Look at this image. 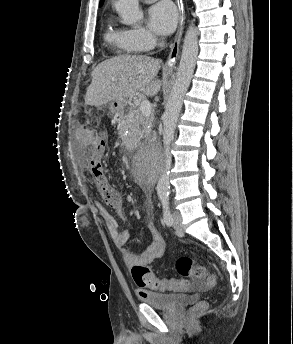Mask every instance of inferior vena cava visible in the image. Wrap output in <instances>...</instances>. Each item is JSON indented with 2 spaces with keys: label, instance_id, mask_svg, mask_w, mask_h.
Segmentation results:
<instances>
[{
  "label": "inferior vena cava",
  "instance_id": "1",
  "mask_svg": "<svg viewBox=\"0 0 293 344\" xmlns=\"http://www.w3.org/2000/svg\"><path fill=\"white\" fill-rule=\"evenodd\" d=\"M160 45H161V47H163L164 46V42H162Z\"/></svg>",
  "mask_w": 293,
  "mask_h": 344
}]
</instances>
